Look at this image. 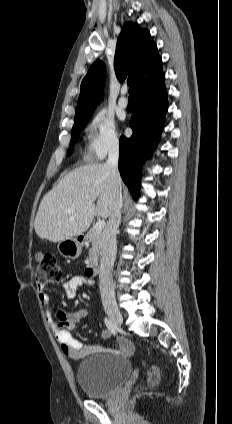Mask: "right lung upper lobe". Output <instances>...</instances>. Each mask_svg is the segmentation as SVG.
<instances>
[{"label":"right lung upper lobe","mask_w":232,"mask_h":424,"mask_svg":"<svg viewBox=\"0 0 232 424\" xmlns=\"http://www.w3.org/2000/svg\"><path fill=\"white\" fill-rule=\"evenodd\" d=\"M114 69L120 82L128 78L135 93L150 88L163 74L162 59L149 31L137 23L126 22L118 37ZM105 65L96 61L81 82L75 120L89 117L102 99Z\"/></svg>","instance_id":"cb5924a9"}]
</instances>
